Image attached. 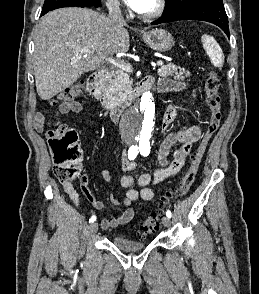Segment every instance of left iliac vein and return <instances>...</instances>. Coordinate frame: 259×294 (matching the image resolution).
Here are the masks:
<instances>
[{
  "label": "left iliac vein",
  "mask_w": 259,
  "mask_h": 294,
  "mask_svg": "<svg viewBox=\"0 0 259 294\" xmlns=\"http://www.w3.org/2000/svg\"><path fill=\"white\" fill-rule=\"evenodd\" d=\"M162 224H163L164 227L169 228L171 226V220H170V218L167 217V216H164L162 218Z\"/></svg>",
  "instance_id": "4c4485c4"
}]
</instances>
